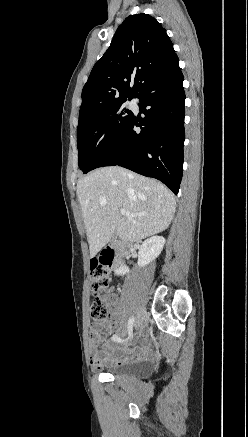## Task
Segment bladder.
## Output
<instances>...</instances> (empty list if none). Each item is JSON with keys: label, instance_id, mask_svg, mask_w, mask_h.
I'll return each mask as SVG.
<instances>
[{"label": "bladder", "instance_id": "31cf9c89", "mask_svg": "<svg viewBox=\"0 0 248 437\" xmlns=\"http://www.w3.org/2000/svg\"><path fill=\"white\" fill-rule=\"evenodd\" d=\"M151 372V366L145 362H134L124 365L112 366L107 373L114 377L146 378Z\"/></svg>", "mask_w": 248, "mask_h": 437}]
</instances>
